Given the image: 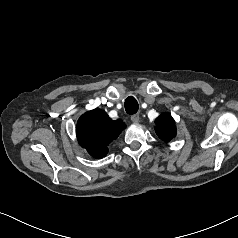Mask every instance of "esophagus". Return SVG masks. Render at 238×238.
<instances>
[{
	"label": "esophagus",
	"mask_w": 238,
	"mask_h": 238,
	"mask_svg": "<svg viewBox=\"0 0 238 238\" xmlns=\"http://www.w3.org/2000/svg\"><path fill=\"white\" fill-rule=\"evenodd\" d=\"M139 120H140V116H139L138 113H136V114H134V115L131 116V121H132L133 123H138Z\"/></svg>",
	"instance_id": "esophagus-1"
}]
</instances>
